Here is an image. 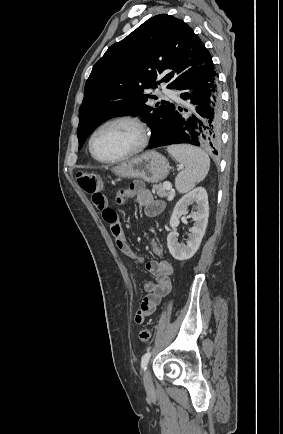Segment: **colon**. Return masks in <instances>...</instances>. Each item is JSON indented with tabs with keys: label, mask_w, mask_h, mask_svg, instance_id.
<instances>
[{
	"label": "colon",
	"mask_w": 283,
	"mask_h": 434,
	"mask_svg": "<svg viewBox=\"0 0 283 434\" xmlns=\"http://www.w3.org/2000/svg\"><path fill=\"white\" fill-rule=\"evenodd\" d=\"M77 181L80 187L88 194H95L99 192L101 181L98 174L90 171H81L77 174ZM151 337V331L149 329H143L139 333V339L142 343L149 341Z\"/></svg>",
	"instance_id": "5ec220e1"
}]
</instances>
